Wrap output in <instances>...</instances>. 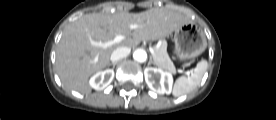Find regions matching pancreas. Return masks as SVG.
Instances as JSON below:
<instances>
[{
  "mask_svg": "<svg viewBox=\"0 0 276 120\" xmlns=\"http://www.w3.org/2000/svg\"><path fill=\"white\" fill-rule=\"evenodd\" d=\"M153 59L155 64L161 69L175 72V66L167 53L166 43H162L159 47L154 48Z\"/></svg>",
  "mask_w": 276,
  "mask_h": 120,
  "instance_id": "pancreas-1",
  "label": "pancreas"
}]
</instances>
